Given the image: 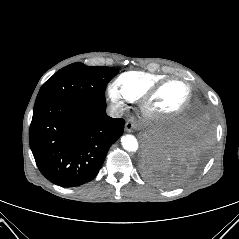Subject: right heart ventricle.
Returning a JSON list of instances; mask_svg holds the SVG:
<instances>
[{
  "mask_svg": "<svg viewBox=\"0 0 239 239\" xmlns=\"http://www.w3.org/2000/svg\"><path fill=\"white\" fill-rule=\"evenodd\" d=\"M167 76L143 71H128L116 79V86L129 101H137L153 86L165 80Z\"/></svg>",
  "mask_w": 239,
  "mask_h": 239,
  "instance_id": "e07e8e85",
  "label": "right heart ventricle"
}]
</instances>
